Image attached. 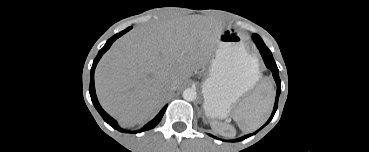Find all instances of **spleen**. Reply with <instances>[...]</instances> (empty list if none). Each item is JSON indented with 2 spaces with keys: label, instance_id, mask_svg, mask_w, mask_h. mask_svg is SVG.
<instances>
[{
  "label": "spleen",
  "instance_id": "1",
  "mask_svg": "<svg viewBox=\"0 0 369 152\" xmlns=\"http://www.w3.org/2000/svg\"><path fill=\"white\" fill-rule=\"evenodd\" d=\"M275 98L271 85L264 84L247 97L233 112V119L241 130L252 132L269 117Z\"/></svg>",
  "mask_w": 369,
  "mask_h": 152
}]
</instances>
